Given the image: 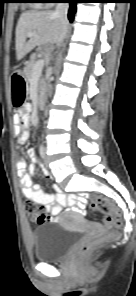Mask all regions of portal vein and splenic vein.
<instances>
[{
  "label": "portal vein and splenic vein",
  "mask_w": 136,
  "mask_h": 296,
  "mask_svg": "<svg viewBox=\"0 0 136 296\" xmlns=\"http://www.w3.org/2000/svg\"><path fill=\"white\" fill-rule=\"evenodd\" d=\"M35 34H36V32H34V31L33 32H29V33H27V36L28 37H32ZM43 66H44V60L43 59H39L36 62L34 68H33V75L34 76H39L41 74V72H42Z\"/></svg>",
  "instance_id": "18ae733b"
}]
</instances>
